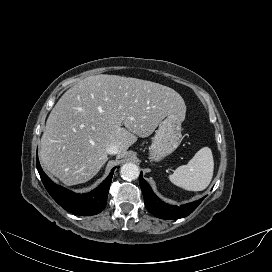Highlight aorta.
<instances>
[{
    "label": "aorta",
    "mask_w": 272,
    "mask_h": 272,
    "mask_svg": "<svg viewBox=\"0 0 272 272\" xmlns=\"http://www.w3.org/2000/svg\"><path fill=\"white\" fill-rule=\"evenodd\" d=\"M120 174L126 180L137 179L139 176V167L134 163H126L121 167Z\"/></svg>",
    "instance_id": "obj_1"
}]
</instances>
